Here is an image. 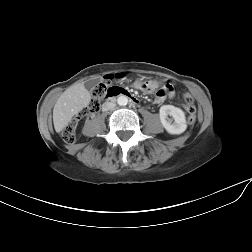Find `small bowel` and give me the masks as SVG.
<instances>
[{
  "instance_id": "c3829d8e",
  "label": "small bowel",
  "mask_w": 252,
  "mask_h": 252,
  "mask_svg": "<svg viewBox=\"0 0 252 252\" xmlns=\"http://www.w3.org/2000/svg\"><path fill=\"white\" fill-rule=\"evenodd\" d=\"M149 88H144L141 84V81H136L133 86L136 89H140L145 92H152L156 90V103L163 102L166 97H173L174 96V88L172 84L168 81H160V80H153L149 81Z\"/></svg>"
}]
</instances>
